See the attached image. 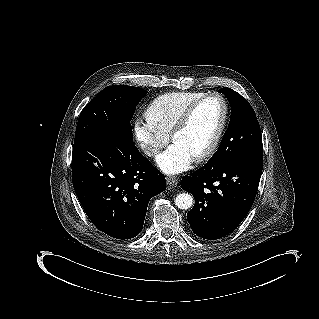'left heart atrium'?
<instances>
[{"label": "left heart atrium", "instance_id": "left-heart-atrium-1", "mask_svg": "<svg viewBox=\"0 0 319 319\" xmlns=\"http://www.w3.org/2000/svg\"><path fill=\"white\" fill-rule=\"evenodd\" d=\"M194 154L179 142L172 144L164 153L158 156V167L167 174H176L190 168Z\"/></svg>", "mask_w": 319, "mask_h": 319}]
</instances>
